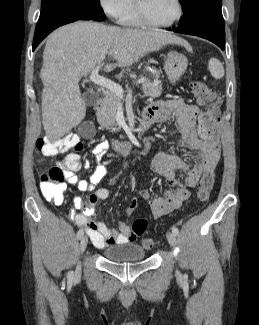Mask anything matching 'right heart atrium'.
<instances>
[{
	"label": "right heart atrium",
	"mask_w": 259,
	"mask_h": 325,
	"mask_svg": "<svg viewBox=\"0 0 259 325\" xmlns=\"http://www.w3.org/2000/svg\"><path fill=\"white\" fill-rule=\"evenodd\" d=\"M102 10L112 18L121 19L134 7V0H98Z\"/></svg>",
	"instance_id": "right-heart-atrium-1"
}]
</instances>
